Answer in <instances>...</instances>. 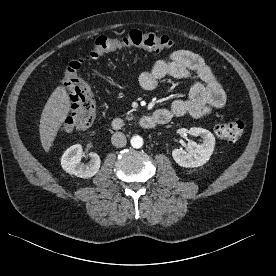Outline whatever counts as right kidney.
<instances>
[{"mask_svg": "<svg viewBox=\"0 0 276 276\" xmlns=\"http://www.w3.org/2000/svg\"><path fill=\"white\" fill-rule=\"evenodd\" d=\"M82 146L75 144L69 147L61 158V166L69 174L81 178L93 177L99 170L101 160L98 154L91 152L90 161L86 164L81 162Z\"/></svg>", "mask_w": 276, "mask_h": 276, "instance_id": "1", "label": "right kidney"}]
</instances>
